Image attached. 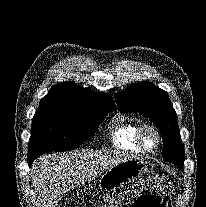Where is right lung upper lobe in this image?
Wrapping results in <instances>:
<instances>
[{
	"label": "right lung upper lobe",
	"instance_id": "1",
	"mask_svg": "<svg viewBox=\"0 0 206 207\" xmlns=\"http://www.w3.org/2000/svg\"><path fill=\"white\" fill-rule=\"evenodd\" d=\"M40 105H61L83 109L100 107L115 108L112 98L106 93H95L73 82L58 83L41 99Z\"/></svg>",
	"mask_w": 206,
	"mask_h": 207
}]
</instances>
